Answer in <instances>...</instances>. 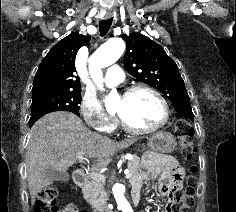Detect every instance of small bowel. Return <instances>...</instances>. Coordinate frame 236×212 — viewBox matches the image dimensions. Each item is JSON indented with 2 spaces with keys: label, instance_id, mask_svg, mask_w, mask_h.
Wrapping results in <instances>:
<instances>
[{
  "label": "small bowel",
  "instance_id": "small-bowel-1",
  "mask_svg": "<svg viewBox=\"0 0 236 212\" xmlns=\"http://www.w3.org/2000/svg\"><path fill=\"white\" fill-rule=\"evenodd\" d=\"M159 177L162 185V193L169 197V190L174 185H179L182 179V170L177 166L175 159L168 155L152 154L145 162L143 170L132 182L133 190L140 191L143 182L148 178ZM61 212H78L75 205L65 206ZM166 212H172L171 203Z\"/></svg>",
  "mask_w": 236,
  "mask_h": 212
}]
</instances>
